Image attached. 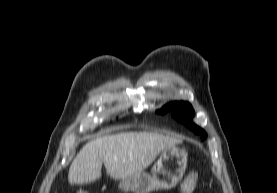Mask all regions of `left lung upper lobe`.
Listing matches in <instances>:
<instances>
[{"label": "left lung upper lobe", "instance_id": "1", "mask_svg": "<svg viewBox=\"0 0 277 193\" xmlns=\"http://www.w3.org/2000/svg\"><path fill=\"white\" fill-rule=\"evenodd\" d=\"M172 109L173 115L179 120L182 121L188 128L192 129L196 134L201 135V139H205L207 134L204 130L192 123V118L194 116V110L192 106L187 102H172L164 106L160 112L164 113Z\"/></svg>", "mask_w": 277, "mask_h": 193}]
</instances>
